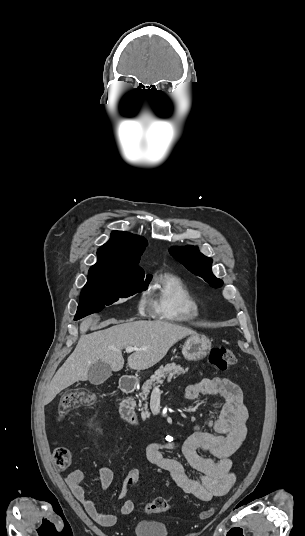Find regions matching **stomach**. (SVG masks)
Listing matches in <instances>:
<instances>
[{"mask_svg":"<svg viewBox=\"0 0 305 536\" xmlns=\"http://www.w3.org/2000/svg\"><path fill=\"white\" fill-rule=\"evenodd\" d=\"M211 350V342L206 336H200V334H194L186 340L182 354L186 360H203L208 356ZM134 384H138V380H134Z\"/></svg>","mask_w":305,"mask_h":536,"instance_id":"0dacf381","label":"stomach"}]
</instances>
